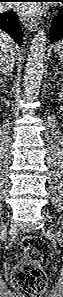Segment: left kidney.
Masks as SVG:
<instances>
[{
    "instance_id": "5707ae66",
    "label": "left kidney",
    "mask_w": 63,
    "mask_h": 297,
    "mask_svg": "<svg viewBox=\"0 0 63 297\" xmlns=\"http://www.w3.org/2000/svg\"><path fill=\"white\" fill-rule=\"evenodd\" d=\"M62 96H63L62 93H60L59 97L62 98Z\"/></svg>"
}]
</instances>
